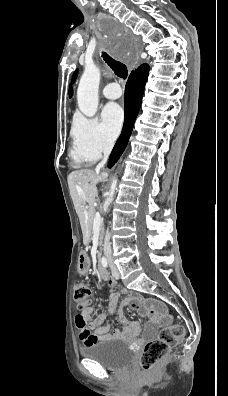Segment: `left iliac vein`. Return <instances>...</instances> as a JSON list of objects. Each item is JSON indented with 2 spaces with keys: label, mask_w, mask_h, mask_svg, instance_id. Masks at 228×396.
<instances>
[{
  "label": "left iliac vein",
  "mask_w": 228,
  "mask_h": 396,
  "mask_svg": "<svg viewBox=\"0 0 228 396\" xmlns=\"http://www.w3.org/2000/svg\"><path fill=\"white\" fill-rule=\"evenodd\" d=\"M109 264H110V267H111L112 276L115 279H119L120 278V274H119L118 269L116 268V266L113 264V262L111 260H109Z\"/></svg>",
  "instance_id": "4c4485c4"
}]
</instances>
